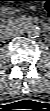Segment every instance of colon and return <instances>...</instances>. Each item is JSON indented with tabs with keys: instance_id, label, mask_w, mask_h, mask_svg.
Segmentation results:
<instances>
[{
	"instance_id": "colon-1",
	"label": "colon",
	"mask_w": 50,
	"mask_h": 111,
	"mask_svg": "<svg viewBox=\"0 0 50 111\" xmlns=\"http://www.w3.org/2000/svg\"><path fill=\"white\" fill-rule=\"evenodd\" d=\"M43 7H44V9H45L46 11H49V10H50V3L45 2V3L43 4Z\"/></svg>"
}]
</instances>
